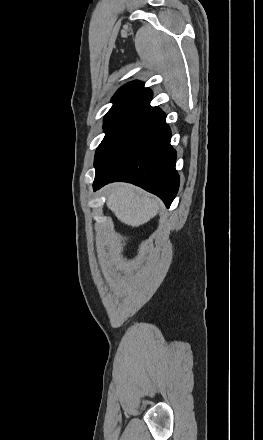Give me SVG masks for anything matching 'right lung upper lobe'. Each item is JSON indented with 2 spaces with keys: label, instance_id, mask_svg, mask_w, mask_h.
<instances>
[{
  "label": "right lung upper lobe",
  "instance_id": "right-lung-upper-lobe-1",
  "mask_svg": "<svg viewBox=\"0 0 263 440\" xmlns=\"http://www.w3.org/2000/svg\"><path fill=\"white\" fill-rule=\"evenodd\" d=\"M152 91L144 88V83L132 81L121 87L112 98L113 106L110 110L119 108L151 107ZM109 110V111H110Z\"/></svg>",
  "mask_w": 263,
  "mask_h": 440
}]
</instances>
